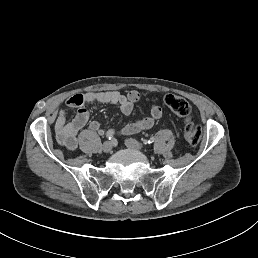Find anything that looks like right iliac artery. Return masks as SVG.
<instances>
[{"label": "right iliac artery", "mask_w": 258, "mask_h": 258, "mask_svg": "<svg viewBox=\"0 0 258 258\" xmlns=\"http://www.w3.org/2000/svg\"><path fill=\"white\" fill-rule=\"evenodd\" d=\"M113 137H114V130L113 129L108 130L106 133V138L108 140H111Z\"/></svg>", "instance_id": "right-iliac-artery-1"}]
</instances>
